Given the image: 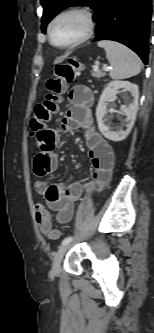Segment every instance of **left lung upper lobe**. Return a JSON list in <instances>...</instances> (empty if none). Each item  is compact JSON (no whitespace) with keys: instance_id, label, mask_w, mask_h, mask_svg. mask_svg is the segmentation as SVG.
Listing matches in <instances>:
<instances>
[{"instance_id":"obj_1","label":"left lung upper lobe","mask_w":154,"mask_h":333,"mask_svg":"<svg viewBox=\"0 0 154 333\" xmlns=\"http://www.w3.org/2000/svg\"><path fill=\"white\" fill-rule=\"evenodd\" d=\"M100 0H41L43 16L41 29L45 33L47 24L63 9L73 5H87L94 9Z\"/></svg>"}]
</instances>
